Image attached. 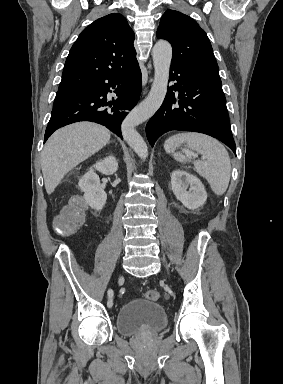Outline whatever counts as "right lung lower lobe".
<instances>
[{
    "label": "right lung lower lobe",
    "mask_w": 283,
    "mask_h": 384,
    "mask_svg": "<svg viewBox=\"0 0 283 384\" xmlns=\"http://www.w3.org/2000/svg\"><path fill=\"white\" fill-rule=\"evenodd\" d=\"M141 82V71L137 65L124 74L90 84L74 100L53 109L44 142L55 130L79 121L99 123L122 138V121L138 102ZM110 88L115 89L118 97L108 101Z\"/></svg>",
    "instance_id": "1"
}]
</instances>
